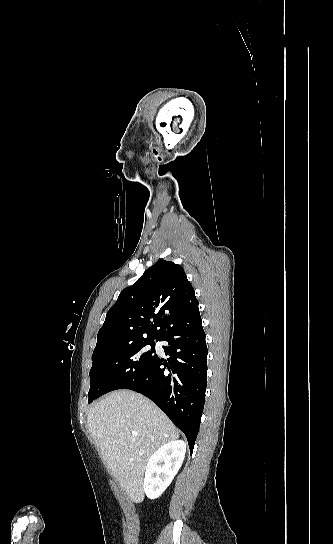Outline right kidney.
Returning a JSON list of instances; mask_svg holds the SVG:
<instances>
[{
  "instance_id": "right-kidney-1",
  "label": "right kidney",
  "mask_w": 333,
  "mask_h": 544,
  "mask_svg": "<svg viewBox=\"0 0 333 544\" xmlns=\"http://www.w3.org/2000/svg\"><path fill=\"white\" fill-rule=\"evenodd\" d=\"M185 453L186 444L177 440L164 444L150 457L143 483L149 499L158 498L171 484L183 463Z\"/></svg>"
}]
</instances>
